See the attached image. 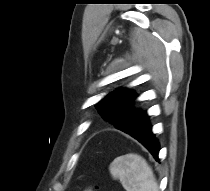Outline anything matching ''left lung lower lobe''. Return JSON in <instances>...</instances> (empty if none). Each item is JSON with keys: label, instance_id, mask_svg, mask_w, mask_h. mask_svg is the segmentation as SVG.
Returning <instances> with one entry per match:
<instances>
[{"label": "left lung lower lobe", "instance_id": "left-lung-lower-lobe-1", "mask_svg": "<svg viewBox=\"0 0 210 191\" xmlns=\"http://www.w3.org/2000/svg\"><path fill=\"white\" fill-rule=\"evenodd\" d=\"M133 114L134 118H138L139 123L141 124L129 134L137 139L143 146H145L156 159V161H159V142L156 140L154 134L151 132V125L148 122V116L146 112L142 110H136V112Z\"/></svg>", "mask_w": 210, "mask_h": 191}]
</instances>
